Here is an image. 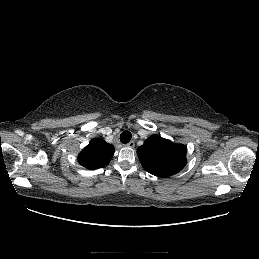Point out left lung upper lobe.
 <instances>
[{"mask_svg": "<svg viewBox=\"0 0 259 259\" xmlns=\"http://www.w3.org/2000/svg\"><path fill=\"white\" fill-rule=\"evenodd\" d=\"M187 149L155 134L137 149L139 160L146 171L159 177H168L186 165Z\"/></svg>", "mask_w": 259, "mask_h": 259, "instance_id": "obj_1", "label": "left lung upper lobe"}]
</instances>
